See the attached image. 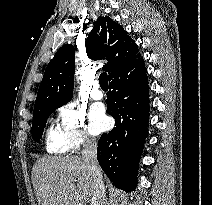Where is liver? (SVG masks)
<instances>
[{"instance_id":"obj_1","label":"liver","mask_w":212,"mask_h":205,"mask_svg":"<svg viewBox=\"0 0 212 205\" xmlns=\"http://www.w3.org/2000/svg\"><path fill=\"white\" fill-rule=\"evenodd\" d=\"M32 173L38 205L91 202L92 172L78 156H44L37 160Z\"/></svg>"}]
</instances>
